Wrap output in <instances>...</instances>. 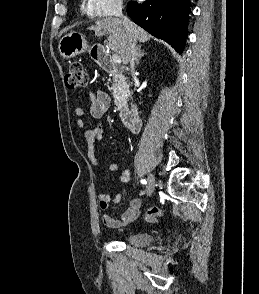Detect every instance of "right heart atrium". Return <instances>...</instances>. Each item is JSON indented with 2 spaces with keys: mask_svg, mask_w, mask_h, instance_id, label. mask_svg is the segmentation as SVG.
Wrapping results in <instances>:
<instances>
[{
  "mask_svg": "<svg viewBox=\"0 0 259 294\" xmlns=\"http://www.w3.org/2000/svg\"><path fill=\"white\" fill-rule=\"evenodd\" d=\"M88 9L98 17H108L118 14L123 6V0H87Z\"/></svg>",
  "mask_w": 259,
  "mask_h": 294,
  "instance_id": "d8ad5b80",
  "label": "right heart atrium"
}]
</instances>
